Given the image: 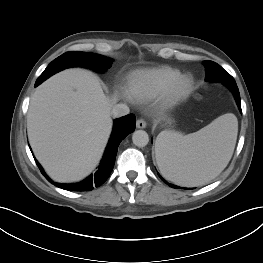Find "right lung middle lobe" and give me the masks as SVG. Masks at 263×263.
<instances>
[{
	"label": "right lung middle lobe",
	"instance_id": "obj_1",
	"mask_svg": "<svg viewBox=\"0 0 263 263\" xmlns=\"http://www.w3.org/2000/svg\"><path fill=\"white\" fill-rule=\"evenodd\" d=\"M112 59L86 52H68L65 53L54 61H52L48 67L44 70V73L55 74L67 67L83 66L93 68L97 71H103L111 67Z\"/></svg>",
	"mask_w": 263,
	"mask_h": 263
}]
</instances>
